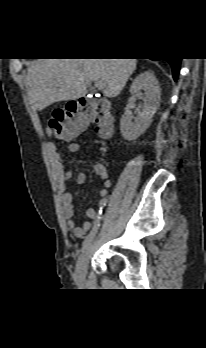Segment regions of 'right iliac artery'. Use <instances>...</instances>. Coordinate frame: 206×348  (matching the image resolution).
Returning <instances> with one entry per match:
<instances>
[{
	"label": "right iliac artery",
	"instance_id": "1",
	"mask_svg": "<svg viewBox=\"0 0 206 348\" xmlns=\"http://www.w3.org/2000/svg\"><path fill=\"white\" fill-rule=\"evenodd\" d=\"M110 203V200L108 198H101L100 199V209H98V214L97 217H95V224L92 228V230L90 231V233L86 236L85 240L83 241V245H82V249H84L89 242L93 239V237L95 236L99 226H100V220H102V215H103V208H105L108 204Z\"/></svg>",
	"mask_w": 206,
	"mask_h": 348
}]
</instances>
